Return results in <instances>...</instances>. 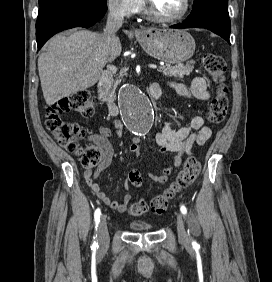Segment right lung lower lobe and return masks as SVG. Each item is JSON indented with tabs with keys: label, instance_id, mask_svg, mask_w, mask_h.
Listing matches in <instances>:
<instances>
[{
	"label": "right lung lower lobe",
	"instance_id": "right-lung-lower-lobe-1",
	"mask_svg": "<svg viewBox=\"0 0 272 282\" xmlns=\"http://www.w3.org/2000/svg\"><path fill=\"white\" fill-rule=\"evenodd\" d=\"M107 5L87 0H54L40 6L36 22L38 49L56 33L73 27H90L106 13Z\"/></svg>",
	"mask_w": 272,
	"mask_h": 282
}]
</instances>
